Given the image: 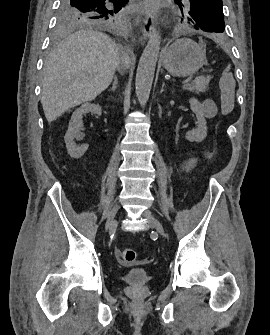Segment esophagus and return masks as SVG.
Listing matches in <instances>:
<instances>
[{
    "label": "esophagus",
    "mask_w": 270,
    "mask_h": 335,
    "mask_svg": "<svg viewBox=\"0 0 270 335\" xmlns=\"http://www.w3.org/2000/svg\"><path fill=\"white\" fill-rule=\"evenodd\" d=\"M142 34L145 38H150L154 34V16L149 13L142 18Z\"/></svg>",
    "instance_id": "obj_1"
}]
</instances>
